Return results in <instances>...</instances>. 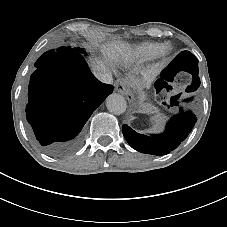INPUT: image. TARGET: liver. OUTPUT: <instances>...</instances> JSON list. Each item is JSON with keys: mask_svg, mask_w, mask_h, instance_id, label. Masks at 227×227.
Here are the masks:
<instances>
[{"mask_svg": "<svg viewBox=\"0 0 227 227\" xmlns=\"http://www.w3.org/2000/svg\"><path fill=\"white\" fill-rule=\"evenodd\" d=\"M131 46L128 43L115 42L111 43L107 50L108 56L117 57L118 55H125V52L130 51ZM93 72H103L106 70L104 63L99 62L98 64H92ZM137 85V83H135ZM139 90H142V87L138 86Z\"/></svg>", "mask_w": 227, "mask_h": 227, "instance_id": "1", "label": "liver"}]
</instances>
